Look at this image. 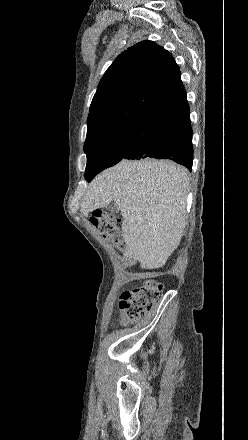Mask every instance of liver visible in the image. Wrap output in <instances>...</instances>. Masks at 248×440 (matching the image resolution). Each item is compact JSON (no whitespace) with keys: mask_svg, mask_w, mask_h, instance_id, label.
<instances>
[{"mask_svg":"<svg viewBox=\"0 0 248 440\" xmlns=\"http://www.w3.org/2000/svg\"><path fill=\"white\" fill-rule=\"evenodd\" d=\"M188 188L186 169L171 161L123 160L93 179L81 212L87 216L114 201L123 217L125 256L157 269L180 244Z\"/></svg>","mask_w":248,"mask_h":440,"instance_id":"obj_1","label":"liver"}]
</instances>
